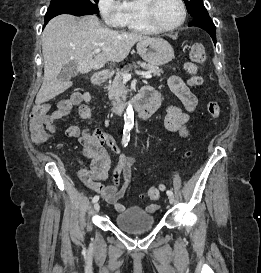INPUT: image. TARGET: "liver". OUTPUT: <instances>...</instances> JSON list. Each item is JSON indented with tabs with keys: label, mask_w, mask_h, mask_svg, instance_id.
Wrapping results in <instances>:
<instances>
[{
	"label": "liver",
	"mask_w": 261,
	"mask_h": 273,
	"mask_svg": "<svg viewBox=\"0 0 261 273\" xmlns=\"http://www.w3.org/2000/svg\"><path fill=\"white\" fill-rule=\"evenodd\" d=\"M149 38L139 33L106 28L95 15L78 18L62 14L54 17L42 34L44 78L35 103L50 101L72 86L70 80L58 79L66 64L75 62L80 73L99 70L109 61H123L135 43ZM97 48L103 49L94 55Z\"/></svg>",
	"instance_id": "obj_1"
}]
</instances>
